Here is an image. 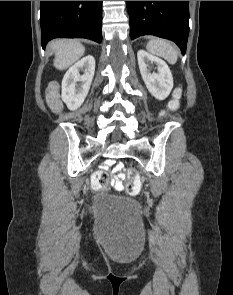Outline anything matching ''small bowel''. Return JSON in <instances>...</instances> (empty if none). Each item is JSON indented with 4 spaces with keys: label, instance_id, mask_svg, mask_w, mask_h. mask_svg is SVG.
I'll use <instances>...</instances> for the list:
<instances>
[{
    "label": "small bowel",
    "instance_id": "c3829d8e",
    "mask_svg": "<svg viewBox=\"0 0 233 295\" xmlns=\"http://www.w3.org/2000/svg\"><path fill=\"white\" fill-rule=\"evenodd\" d=\"M104 168L109 169L112 168L113 178L112 184L117 190H122L123 186L121 183V179L125 177L123 172L124 165L121 162H114L113 160H108L104 163Z\"/></svg>",
    "mask_w": 233,
    "mask_h": 295
}]
</instances>
